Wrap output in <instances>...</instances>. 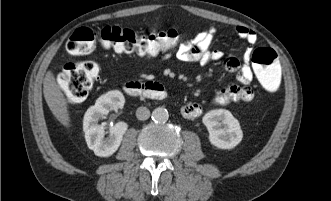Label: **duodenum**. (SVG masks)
Instances as JSON below:
<instances>
[{"label": "duodenum", "instance_id": "duodenum-1", "mask_svg": "<svg viewBox=\"0 0 331 201\" xmlns=\"http://www.w3.org/2000/svg\"><path fill=\"white\" fill-rule=\"evenodd\" d=\"M123 91L132 97H145L156 101L167 98L163 85L157 82L130 81L123 85Z\"/></svg>", "mask_w": 331, "mask_h": 201}]
</instances>
